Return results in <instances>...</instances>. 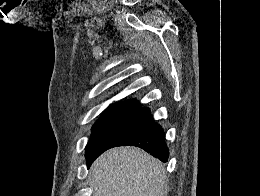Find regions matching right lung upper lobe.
I'll list each match as a JSON object with an SVG mask.
<instances>
[{
  "mask_svg": "<svg viewBox=\"0 0 260 196\" xmlns=\"http://www.w3.org/2000/svg\"><path fill=\"white\" fill-rule=\"evenodd\" d=\"M115 105H133V106H138V107H140V106H139L140 104H139L136 100H134V99H132V100H127V101H123V102L114 104V105H112V106H115Z\"/></svg>",
  "mask_w": 260,
  "mask_h": 196,
  "instance_id": "obj_1",
  "label": "right lung upper lobe"
}]
</instances>
